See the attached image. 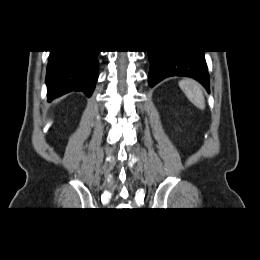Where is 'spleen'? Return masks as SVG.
Returning a JSON list of instances; mask_svg holds the SVG:
<instances>
[{"label": "spleen", "instance_id": "1", "mask_svg": "<svg viewBox=\"0 0 260 260\" xmlns=\"http://www.w3.org/2000/svg\"><path fill=\"white\" fill-rule=\"evenodd\" d=\"M179 86L193 105L201 110L205 108V99L199 83L191 79H184L179 82Z\"/></svg>", "mask_w": 260, "mask_h": 260}]
</instances>
